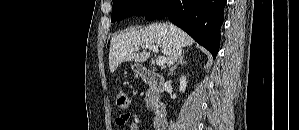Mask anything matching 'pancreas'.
<instances>
[{"label": "pancreas", "mask_w": 299, "mask_h": 130, "mask_svg": "<svg viewBox=\"0 0 299 130\" xmlns=\"http://www.w3.org/2000/svg\"><path fill=\"white\" fill-rule=\"evenodd\" d=\"M146 107L153 109L155 106V93L153 89H149L145 96Z\"/></svg>", "instance_id": "1"}]
</instances>
